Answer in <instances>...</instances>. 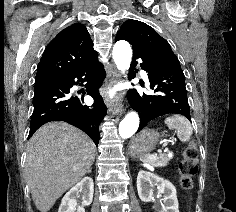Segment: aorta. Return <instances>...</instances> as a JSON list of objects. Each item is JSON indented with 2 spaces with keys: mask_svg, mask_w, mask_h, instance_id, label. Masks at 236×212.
Segmentation results:
<instances>
[{
  "mask_svg": "<svg viewBox=\"0 0 236 212\" xmlns=\"http://www.w3.org/2000/svg\"><path fill=\"white\" fill-rule=\"evenodd\" d=\"M113 60L123 74L129 69L132 59V49L127 41H118L113 47ZM139 127V116L129 112L119 124V134L126 139L134 135Z\"/></svg>",
  "mask_w": 236,
  "mask_h": 212,
  "instance_id": "obj_1",
  "label": "aorta"
}]
</instances>
